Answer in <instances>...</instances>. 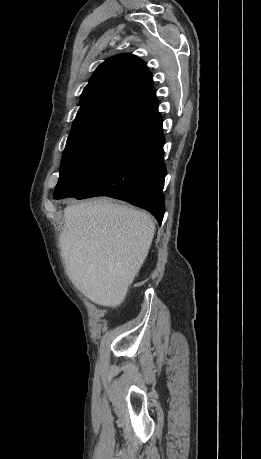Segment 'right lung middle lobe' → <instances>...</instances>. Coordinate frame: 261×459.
Returning a JSON list of instances; mask_svg holds the SVG:
<instances>
[{
	"label": "right lung middle lobe",
	"instance_id": "1",
	"mask_svg": "<svg viewBox=\"0 0 261 459\" xmlns=\"http://www.w3.org/2000/svg\"><path fill=\"white\" fill-rule=\"evenodd\" d=\"M152 130L149 125L114 124L69 138L53 197L62 199L81 192L94 178L133 150Z\"/></svg>",
	"mask_w": 261,
	"mask_h": 459
}]
</instances>
